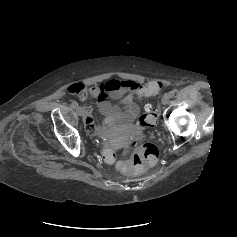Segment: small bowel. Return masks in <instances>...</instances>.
Listing matches in <instances>:
<instances>
[{
    "instance_id": "1",
    "label": "small bowel",
    "mask_w": 237,
    "mask_h": 237,
    "mask_svg": "<svg viewBox=\"0 0 237 237\" xmlns=\"http://www.w3.org/2000/svg\"><path fill=\"white\" fill-rule=\"evenodd\" d=\"M68 92L77 95L81 100L91 97L97 101L104 120L97 125L92 115L91 106L84 108V124L87 132L105 135L115 124H128L139 114L140 103L148 96L146 87L134 80H111L100 85L86 86L82 83L71 84ZM109 98L119 100L118 105Z\"/></svg>"
}]
</instances>
